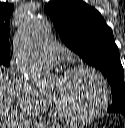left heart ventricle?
Returning a JSON list of instances; mask_svg holds the SVG:
<instances>
[{"instance_id": "b2bd125f", "label": "left heart ventricle", "mask_w": 125, "mask_h": 128, "mask_svg": "<svg viewBox=\"0 0 125 128\" xmlns=\"http://www.w3.org/2000/svg\"><path fill=\"white\" fill-rule=\"evenodd\" d=\"M49 93L70 113H90L96 110L102 101L101 84L88 72L56 78Z\"/></svg>"}]
</instances>
